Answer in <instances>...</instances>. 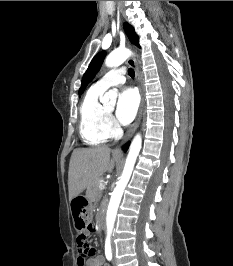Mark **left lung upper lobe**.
Segmentation results:
<instances>
[{
	"instance_id": "5c2ea615",
	"label": "left lung upper lobe",
	"mask_w": 233,
	"mask_h": 266,
	"mask_svg": "<svg viewBox=\"0 0 233 266\" xmlns=\"http://www.w3.org/2000/svg\"><path fill=\"white\" fill-rule=\"evenodd\" d=\"M124 29H125L126 34L129 37L130 41L139 47V44H138L139 38L136 35L134 28L131 25H129L128 23H125ZM104 57H105V52H101V53H98L92 59L87 71L85 72V74L83 76L82 85L79 89V94L83 93V91L85 90L88 83L95 77L96 73L99 71V69L102 65Z\"/></svg>"
}]
</instances>
